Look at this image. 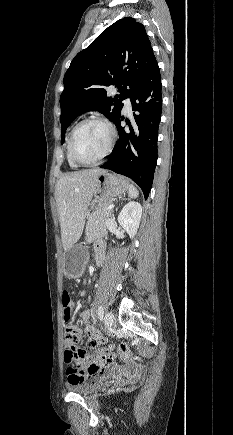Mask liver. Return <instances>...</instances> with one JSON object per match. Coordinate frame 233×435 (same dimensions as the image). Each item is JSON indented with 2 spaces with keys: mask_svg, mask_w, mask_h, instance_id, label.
Masks as SVG:
<instances>
[{
  "mask_svg": "<svg viewBox=\"0 0 233 435\" xmlns=\"http://www.w3.org/2000/svg\"><path fill=\"white\" fill-rule=\"evenodd\" d=\"M104 172L102 169L72 172L57 182L56 197L64 250L81 237L97 177Z\"/></svg>",
  "mask_w": 233,
  "mask_h": 435,
  "instance_id": "1",
  "label": "liver"
}]
</instances>
